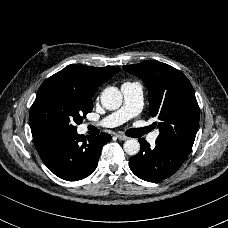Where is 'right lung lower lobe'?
Masks as SVG:
<instances>
[{"instance_id": "right-lung-lower-lobe-1", "label": "right lung lower lobe", "mask_w": 228, "mask_h": 228, "mask_svg": "<svg viewBox=\"0 0 228 228\" xmlns=\"http://www.w3.org/2000/svg\"><path fill=\"white\" fill-rule=\"evenodd\" d=\"M33 139L42 161L56 176L77 181L95 170L101 148L111 136L101 133L86 139L77 131H56Z\"/></svg>"}]
</instances>
